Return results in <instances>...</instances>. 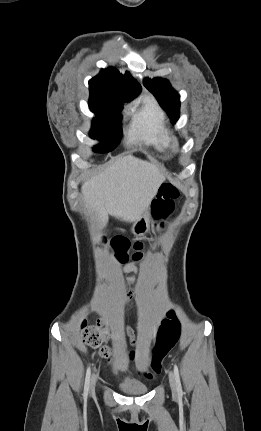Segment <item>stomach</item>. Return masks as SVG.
I'll return each mask as SVG.
<instances>
[{
  "label": "stomach",
  "instance_id": "obj_1",
  "mask_svg": "<svg viewBox=\"0 0 261 431\" xmlns=\"http://www.w3.org/2000/svg\"><path fill=\"white\" fill-rule=\"evenodd\" d=\"M149 229V214L146 212L139 217L132 226V232L136 236L144 235Z\"/></svg>",
  "mask_w": 261,
  "mask_h": 431
}]
</instances>
